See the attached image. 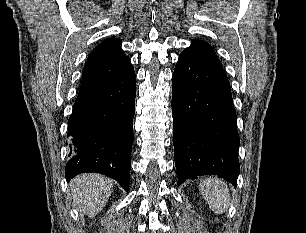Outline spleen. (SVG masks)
<instances>
[{"instance_id":"3e777b00","label":"spleen","mask_w":306,"mask_h":233,"mask_svg":"<svg viewBox=\"0 0 306 233\" xmlns=\"http://www.w3.org/2000/svg\"><path fill=\"white\" fill-rule=\"evenodd\" d=\"M199 190L215 214H222L228 208L230 193L222 179L206 177L201 181Z\"/></svg>"}]
</instances>
